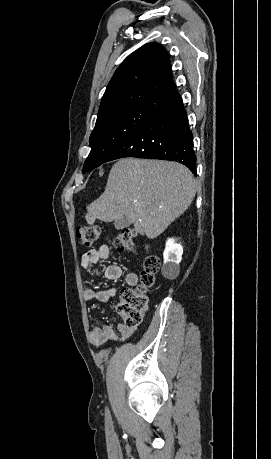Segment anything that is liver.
Here are the masks:
<instances>
[{"label":"liver","mask_w":271,"mask_h":459,"mask_svg":"<svg viewBox=\"0 0 271 459\" xmlns=\"http://www.w3.org/2000/svg\"><path fill=\"white\" fill-rule=\"evenodd\" d=\"M195 194L193 174L183 164L121 158L85 218L90 226L95 220L128 218L139 233L152 239L188 210Z\"/></svg>","instance_id":"liver-1"}]
</instances>
